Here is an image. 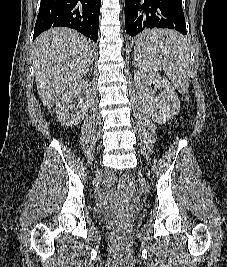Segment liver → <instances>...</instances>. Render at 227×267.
I'll use <instances>...</instances> for the list:
<instances>
[{"mask_svg":"<svg viewBox=\"0 0 227 267\" xmlns=\"http://www.w3.org/2000/svg\"><path fill=\"white\" fill-rule=\"evenodd\" d=\"M32 54L38 94L47 109L79 82L93 63L92 43L65 27L42 33L34 42Z\"/></svg>","mask_w":227,"mask_h":267,"instance_id":"1","label":"liver"}]
</instances>
